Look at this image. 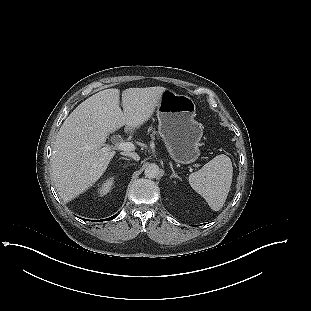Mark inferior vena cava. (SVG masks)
Wrapping results in <instances>:
<instances>
[{
    "label": "inferior vena cava",
    "instance_id": "1",
    "mask_svg": "<svg viewBox=\"0 0 311 311\" xmlns=\"http://www.w3.org/2000/svg\"><path fill=\"white\" fill-rule=\"evenodd\" d=\"M124 155L130 156L132 159H134L135 161H139L140 160V156L135 153V152H126L124 153Z\"/></svg>",
    "mask_w": 311,
    "mask_h": 311
}]
</instances>
